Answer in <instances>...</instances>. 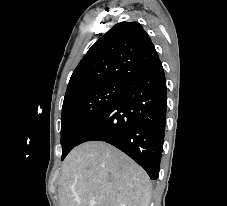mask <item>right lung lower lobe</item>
<instances>
[{
    "instance_id": "right-lung-lower-lobe-1",
    "label": "right lung lower lobe",
    "mask_w": 227,
    "mask_h": 206,
    "mask_svg": "<svg viewBox=\"0 0 227 206\" xmlns=\"http://www.w3.org/2000/svg\"><path fill=\"white\" fill-rule=\"evenodd\" d=\"M166 119V79L161 61L124 81L121 95L81 137L117 147L157 179ZM78 144V145H79Z\"/></svg>"
}]
</instances>
